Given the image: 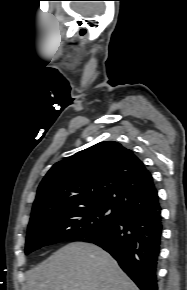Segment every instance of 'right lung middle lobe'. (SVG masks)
<instances>
[{
    "label": "right lung middle lobe",
    "instance_id": "obj_1",
    "mask_svg": "<svg viewBox=\"0 0 187 290\" xmlns=\"http://www.w3.org/2000/svg\"><path fill=\"white\" fill-rule=\"evenodd\" d=\"M122 214L107 205H91L59 211L36 220L28 226L26 254L54 243L85 239L115 225Z\"/></svg>",
    "mask_w": 187,
    "mask_h": 290
}]
</instances>
